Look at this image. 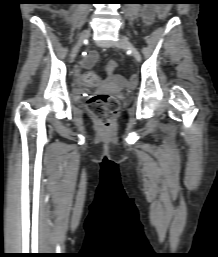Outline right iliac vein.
<instances>
[{"instance_id":"right-iliac-vein-1","label":"right iliac vein","mask_w":218,"mask_h":257,"mask_svg":"<svg viewBox=\"0 0 218 257\" xmlns=\"http://www.w3.org/2000/svg\"><path fill=\"white\" fill-rule=\"evenodd\" d=\"M90 36V30H84L80 36H79V39H78V42L75 46V48L73 49L72 53H71V61L74 60V58L76 57L82 43Z\"/></svg>"}]
</instances>
